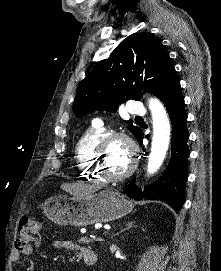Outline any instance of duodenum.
<instances>
[{"instance_id":"obj_1","label":"duodenum","mask_w":221,"mask_h":271,"mask_svg":"<svg viewBox=\"0 0 221 271\" xmlns=\"http://www.w3.org/2000/svg\"><path fill=\"white\" fill-rule=\"evenodd\" d=\"M84 261L86 264L92 265V264L96 263L97 256H96V254L89 255V256L85 257Z\"/></svg>"}]
</instances>
